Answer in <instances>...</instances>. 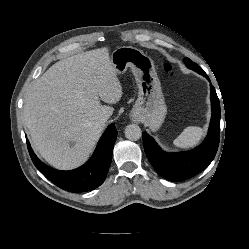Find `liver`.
<instances>
[{
	"label": "liver",
	"instance_id": "6515ba94",
	"mask_svg": "<svg viewBox=\"0 0 249 249\" xmlns=\"http://www.w3.org/2000/svg\"><path fill=\"white\" fill-rule=\"evenodd\" d=\"M122 86L108 48L82 52L56 62L27 93L23 119L34 149L53 167L82 165L101 133L100 115L109 117Z\"/></svg>",
	"mask_w": 249,
	"mask_h": 249
}]
</instances>
